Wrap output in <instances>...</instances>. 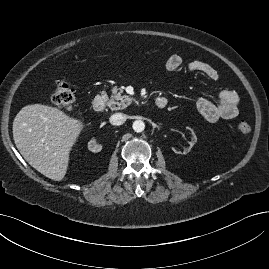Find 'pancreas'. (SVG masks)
I'll return each instance as SVG.
<instances>
[{
  "mask_svg": "<svg viewBox=\"0 0 269 269\" xmlns=\"http://www.w3.org/2000/svg\"><path fill=\"white\" fill-rule=\"evenodd\" d=\"M134 101L133 98L122 95V90L117 88H113L112 96L107 102V106L111 110H121L125 109L128 105H130Z\"/></svg>",
  "mask_w": 269,
  "mask_h": 269,
  "instance_id": "cf45deb5",
  "label": "pancreas"
}]
</instances>
